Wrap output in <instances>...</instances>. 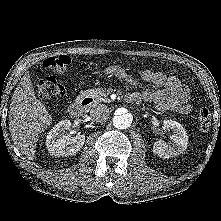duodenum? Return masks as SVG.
<instances>
[{"label": "duodenum", "instance_id": "1", "mask_svg": "<svg viewBox=\"0 0 221 221\" xmlns=\"http://www.w3.org/2000/svg\"><path fill=\"white\" fill-rule=\"evenodd\" d=\"M93 103L91 96H83L79 100L72 102L68 106V113L74 118L80 117L87 106Z\"/></svg>", "mask_w": 221, "mask_h": 221}]
</instances>
